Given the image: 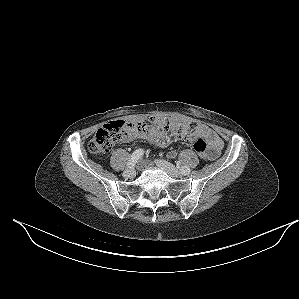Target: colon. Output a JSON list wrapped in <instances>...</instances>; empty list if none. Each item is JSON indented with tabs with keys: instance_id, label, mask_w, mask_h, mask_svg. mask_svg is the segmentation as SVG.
Segmentation results:
<instances>
[{
	"instance_id": "obj_1",
	"label": "colon",
	"mask_w": 299,
	"mask_h": 299,
	"mask_svg": "<svg viewBox=\"0 0 299 299\" xmlns=\"http://www.w3.org/2000/svg\"><path fill=\"white\" fill-rule=\"evenodd\" d=\"M152 124L160 127L163 132L173 134L180 139H187L195 127L194 123H179L167 118L156 119ZM152 124L148 125L145 122L131 123L124 120L110 121L95 133L88 144V149L92 154L104 155L116 143L122 141L130 129L145 130ZM193 146L203 159L208 160V145L203 138H197Z\"/></svg>"
}]
</instances>
